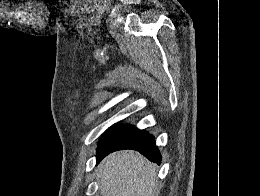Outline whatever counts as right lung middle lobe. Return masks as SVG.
Listing matches in <instances>:
<instances>
[{
    "mask_svg": "<svg viewBox=\"0 0 260 196\" xmlns=\"http://www.w3.org/2000/svg\"><path fill=\"white\" fill-rule=\"evenodd\" d=\"M138 132L140 130L131 125L115 124L107 130L99 141L97 152L119 146Z\"/></svg>",
    "mask_w": 260,
    "mask_h": 196,
    "instance_id": "right-lung-middle-lobe-1",
    "label": "right lung middle lobe"
}]
</instances>
